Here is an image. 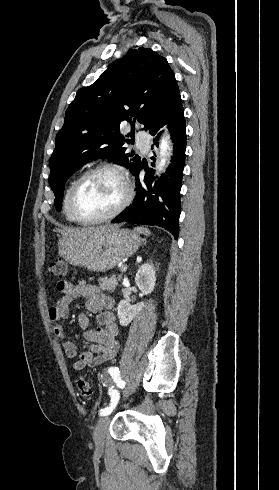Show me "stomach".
Listing matches in <instances>:
<instances>
[{"label": "stomach", "mask_w": 279, "mask_h": 490, "mask_svg": "<svg viewBox=\"0 0 279 490\" xmlns=\"http://www.w3.org/2000/svg\"><path fill=\"white\" fill-rule=\"evenodd\" d=\"M141 242L137 232L114 228L107 234H91L79 240L62 236L58 254L71 266L86 268L89 272H109L121 260L133 256Z\"/></svg>", "instance_id": "obj_1"}]
</instances>
